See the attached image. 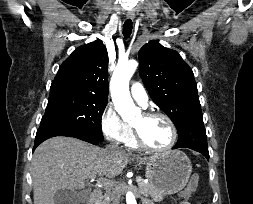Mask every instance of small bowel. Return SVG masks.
<instances>
[{
    "instance_id": "obj_1",
    "label": "small bowel",
    "mask_w": 253,
    "mask_h": 204,
    "mask_svg": "<svg viewBox=\"0 0 253 204\" xmlns=\"http://www.w3.org/2000/svg\"><path fill=\"white\" fill-rule=\"evenodd\" d=\"M179 204H191V203L188 202L187 200H183V201H181Z\"/></svg>"
}]
</instances>
